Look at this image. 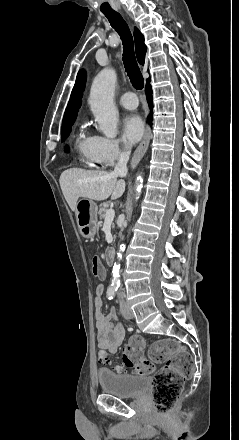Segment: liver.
I'll return each instance as SVG.
<instances>
[{
    "label": "liver",
    "mask_w": 239,
    "mask_h": 440,
    "mask_svg": "<svg viewBox=\"0 0 239 440\" xmlns=\"http://www.w3.org/2000/svg\"><path fill=\"white\" fill-rule=\"evenodd\" d=\"M59 184L63 196L72 212H76L78 198L89 200H118L125 192L124 180H117L114 172H97V170H82L70 168L60 176Z\"/></svg>",
    "instance_id": "1"
}]
</instances>
